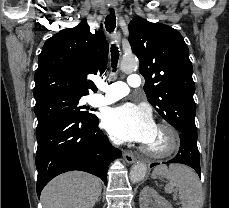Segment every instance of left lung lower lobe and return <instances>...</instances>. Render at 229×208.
Returning <instances> with one entry per match:
<instances>
[{
  "label": "left lung lower lobe",
  "instance_id": "1",
  "mask_svg": "<svg viewBox=\"0 0 229 208\" xmlns=\"http://www.w3.org/2000/svg\"><path fill=\"white\" fill-rule=\"evenodd\" d=\"M180 150L172 160L165 163H182L186 164L198 173L200 177V162L199 151L197 148V130L187 129L184 133H180ZM158 165V163L151 164L150 167Z\"/></svg>",
  "mask_w": 229,
  "mask_h": 208
}]
</instances>
